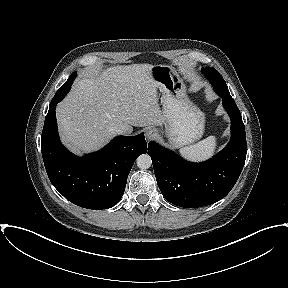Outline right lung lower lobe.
<instances>
[{
	"instance_id": "1",
	"label": "right lung lower lobe",
	"mask_w": 288,
	"mask_h": 288,
	"mask_svg": "<svg viewBox=\"0 0 288 288\" xmlns=\"http://www.w3.org/2000/svg\"><path fill=\"white\" fill-rule=\"evenodd\" d=\"M51 102L41 137L48 177L58 192L73 204L93 210L108 209L121 199L136 158L146 153L144 134L118 136L98 152L79 158L61 144Z\"/></svg>"
}]
</instances>
